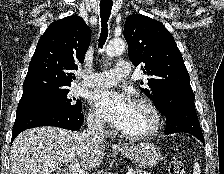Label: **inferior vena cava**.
Listing matches in <instances>:
<instances>
[{
	"label": "inferior vena cava",
	"mask_w": 224,
	"mask_h": 174,
	"mask_svg": "<svg viewBox=\"0 0 224 174\" xmlns=\"http://www.w3.org/2000/svg\"><path fill=\"white\" fill-rule=\"evenodd\" d=\"M82 136L90 143L102 144L104 139L102 120L88 118L87 129L83 131Z\"/></svg>",
	"instance_id": "1"
}]
</instances>
